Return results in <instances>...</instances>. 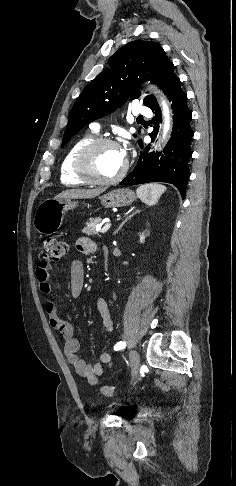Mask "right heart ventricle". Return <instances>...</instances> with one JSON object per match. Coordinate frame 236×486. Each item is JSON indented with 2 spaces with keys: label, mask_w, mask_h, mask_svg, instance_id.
<instances>
[{
  "label": "right heart ventricle",
  "mask_w": 236,
  "mask_h": 486,
  "mask_svg": "<svg viewBox=\"0 0 236 486\" xmlns=\"http://www.w3.org/2000/svg\"><path fill=\"white\" fill-rule=\"evenodd\" d=\"M95 138L94 132H89L78 138L68 149L60 167V180L67 186H81L87 184L74 172V160L78 151Z\"/></svg>",
  "instance_id": "1"
}]
</instances>
